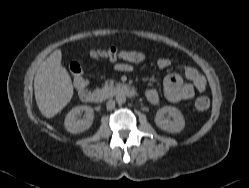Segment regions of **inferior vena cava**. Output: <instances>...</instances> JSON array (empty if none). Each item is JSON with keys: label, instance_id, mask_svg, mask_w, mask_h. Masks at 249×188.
I'll return each mask as SVG.
<instances>
[{"label": "inferior vena cava", "instance_id": "1", "mask_svg": "<svg viewBox=\"0 0 249 188\" xmlns=\"http://www.w3.org/2000/svg\"><path fill=\"white\" fill-rule=\"evenodd\" d=\"M106 107L108 110H112L115 107V101L113 99H110L106 103Z\"/></svg>", "mask_w": 249, "mask_h": 188}]
</instances>
